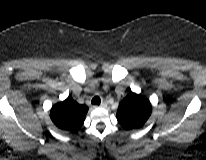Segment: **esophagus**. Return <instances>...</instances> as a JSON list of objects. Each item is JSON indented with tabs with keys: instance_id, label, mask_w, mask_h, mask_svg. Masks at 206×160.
Returning a JSON list of instances; mask_svg holds the SVG:
<instances>
[{
	"instance_id": "34e87169",
	"label": "esophagus",
	"mask_w": 206,
	"mask_h": 160,
	"mask_svg": "<svg viewBox=\"0 0 206 160\" xmlns=\"http://www.w3.org/2000/svg\"><path fill=\"white\" fill-rule=\"evenodd\" d=\"M106 105H107L106 102L103 101V102L99 105V107H105Z\"/></svg>"
}]
</instances>
